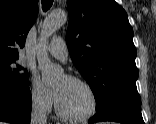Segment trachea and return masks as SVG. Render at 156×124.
Here are the masks:
<instances>
[{
  "instance_id": "1",
  "label": "trachea",
  "mask_w": 156,
  "mask_h": 124,
  "mask_svg": "<svg viewBox=\"0 0 156 124\" xmlns=\"http://www.w3.org/2000/svg\"><path fill=\"white\" fill-rule=\"evenodd\" d=\"M53 4V0H42V7L44 11H47L48 9H50V7Z\"/></svg>"
}]
</instances>
